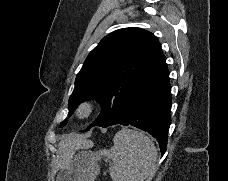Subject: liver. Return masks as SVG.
<instances>
[{
	"label": "liver",
	"instance_id": "6515ba94",
	"mask_svg": "<svg viewBox=\"0 0 228 181\" xmlns=\"http://www.w3.org/2000/svg\"><path fill=\"white\" fill-rule=\"evenodd\" d=\"M58 147L61 159H63V161H67V163H70L72 155H74L77 149H90V147H93V143L92 141H88L86 137H82V135L71 133V135H66V137L61 139ZM58 159L59 157L54 159V165L56 169H62L63 161H58Z\"/></svg>",
	"mask_w": 228,
	"mask_h": 181
}]
</instances>
